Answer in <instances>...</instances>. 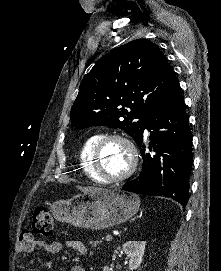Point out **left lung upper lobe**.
<instances>
[{
	"instance_id": "obj_1",
	"label": "left lung upper lobe",
	"mask_w": 221,
	"mask_h": 271,
	"mask_svg": "<svg viewBox=\"0 0 221 271\" xmlns=\"http://www.w3.org/2000/svg\"><path fill=\"white\" fill-rule=\"evenodd\" d=\"M178 87L172 67L155 43L131 41L104 55L84 76L71 108L72 127L120 128L136 141L146 119Z\"/></svg>"
}]
</instances>
